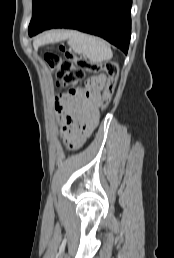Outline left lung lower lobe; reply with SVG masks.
Here are the masks:
<instances>
[{"mask_svg": "<svg viewBox=\"0 0 174 258\" xmlns=\"http://www.w3.org/2000/svg\"><path fill=\"white\" fill-rule=\"evenodd\" d=\"M132 0H58L34 36L51 28H70L100 36L128 52Z\"/></svg>", "mask_w": 174, "mask_h": 258, "instance_id": "1", "label": "left lung lower lobe"}]
</instances>
